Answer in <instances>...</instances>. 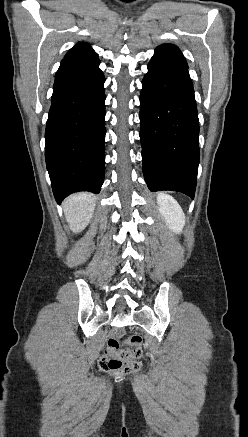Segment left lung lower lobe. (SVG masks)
<instances>
[{
    "label": "left lung lower lobe",
    "mask_w": 248,
    "mask_h": 437,
    "mask_svg": "<svg viewBox=\"0 0 248 437\" xmlns=\"http://www.w3.org/2000/svg\"><path fill=\"white\" fill-rule=\"evenodd\" d=\"M140 95L143 173L151 191L172 190L192 199L199 164V120L188 69L148 64Z\"/></svg>",
    "instance_id": "1"
}]
</instances>
